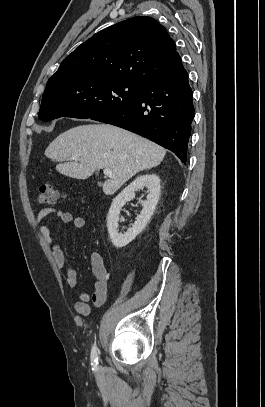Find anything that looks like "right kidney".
<instances>
[{"label": "right kidney", "instance_id": "ca27d5eb", "mask_svg": "<svg viewBox=\"0 0 265 407\" xmlns=\"http://www.w3.org/2000/svg\"><path fill=\"white\" fill-rule=\"evenodd\" d=\"M146 187L148 189L147 200L141 201L143 207L137 216L134 225L124 234L118 232V221L121 208L127 201L133 200L135 192ZM160 178L156 174H146L137 177L120 194H118L109 209L107 216V228L110 239L116 248H122L129 244L140 234L150 221L160 197Z\"/></svg>", "mask_w": 265, "mask_h": 407}]
</instances>
